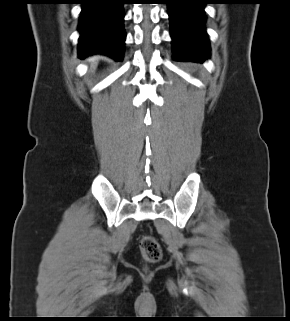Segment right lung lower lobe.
Segmentation results:
<instances>
[{
	"label": "right lung lower lobe",
	"mask_w": 290,
	"mask_h": 321,
	"mask_svg": "<svg viewBox=\"0 0 290 321\" xmlns=\"http://www.w3.org/2000/svg\"><path fill=\"white\" fill-rule=\"evenodd\" d=\"M79 57L101 53L122 60L125 42L123 0H82Z\"/></svg>",
	"instance_id": "1"
}]
</instances>
